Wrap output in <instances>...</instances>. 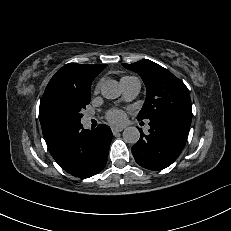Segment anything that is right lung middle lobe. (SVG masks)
<instances>
[{"instance_id": "1", "label": "right lung middle lobe", "mask_w": 231, "mask_h": 231, "mask_svg": "<svg viewBox=\"0 0 231 231\" xmlns=\"http://www.w3.org/2000/svg\"><path fill=\"white\" fill-rule=\"evenodd\" d=\"M90 100V92L56 86L43 94L39 112L47 124L63 129L80 123Z\"/></svg>"}]
</instances>
